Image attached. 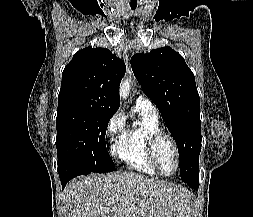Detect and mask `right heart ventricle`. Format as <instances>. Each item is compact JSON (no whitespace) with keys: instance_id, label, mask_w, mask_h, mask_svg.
Returning <instances> with one entry per match:
<instances>
[{"instance_id":"obj_1","label":"right heart ventricle","mask_w":253,"mask_h":217,"mask_svg":"<svg viewBox=\"0 0 253 217\" xmlns=\"http://www.w3.org/2000/svg\"><path fill=\"white\" fill-rule=\"evenodd\" d=\"M138 120L126 128L114 145V154L130 169L146 175H159L151 163L146 149L148 138L160 131L159 118L150 112L137 108Z\"/></svg>"}]
</instances>
